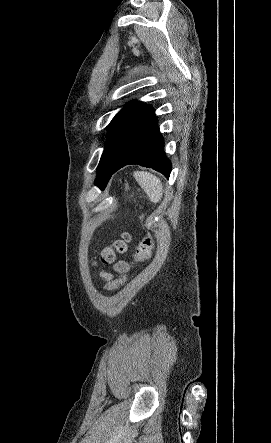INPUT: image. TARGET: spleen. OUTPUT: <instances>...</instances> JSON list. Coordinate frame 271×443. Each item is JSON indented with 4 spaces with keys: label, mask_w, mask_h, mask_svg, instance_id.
Wrapping results in <instances>:
<instances>
[{
    "label": "spleen",
    "mask_w": 271,
    "mask_h": 443,
    "mask_svg": "<svg viewBox=\"0 0 271 443\" xmlns=\"http://www.w3.org/2000/svg\"><path fill=\"white\" fill-rule=\"evenodd\" d=\"M134 178L142 190L149 196V200L154 202V204H158L163 196V186L159 178L149 174V172H134Z\"/></svg>",
    "instance_id": "obj_1"
}]
</instances>
